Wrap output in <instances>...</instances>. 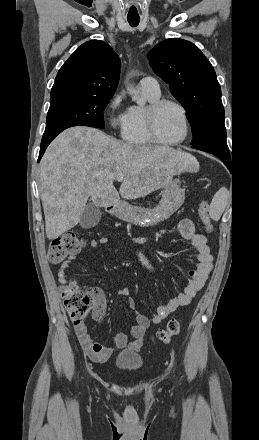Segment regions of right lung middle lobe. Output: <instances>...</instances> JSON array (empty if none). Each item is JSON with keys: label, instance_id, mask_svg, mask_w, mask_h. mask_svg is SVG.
<instances>
[{"label": "right lung middle lobe", "instance_id": "dd1d6c3e", "mask_svg": "<svg viewBox=\"0 0 259 440\" xmlns=\"http://www.w3.org/2000/svg\"><path fill=\"white\" fill-rule=\"evenodd\" d=\"M111 98L76 92L51 95L44 134L78 125L103 129V110Z\"/></svg>", "mask_w": 259, "mask_h": 440}]
</instances>
